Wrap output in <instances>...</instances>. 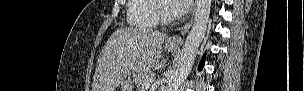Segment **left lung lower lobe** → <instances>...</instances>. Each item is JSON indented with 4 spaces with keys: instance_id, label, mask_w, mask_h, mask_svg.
Listing matches in <instances>:
<instances>
[{
    "instance_id": "1",
    "label": "left lung lower lobe",
    "mask_w": 304,
    "mask_h": 91,
    "mask_svg": "<svg viewBox=\"0 0 304 91\" xmlns=\"http://www.w3.org/2000/svg\"><path fill=\"white\" fill-rule=\"evenodd\" d=\"M204 59H205V56L202 58V61H201L200 65H199V70L203 67Z\"/></svg>"
}]
</instances>
